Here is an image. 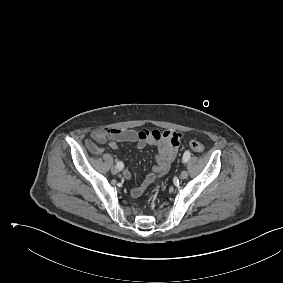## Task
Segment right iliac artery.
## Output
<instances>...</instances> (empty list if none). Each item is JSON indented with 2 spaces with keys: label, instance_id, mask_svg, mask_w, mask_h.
Instances as JSON below:
<instances>
[{
  "label": "right iliac artery",
  "instance_id": "82829eb1",
  "mask_svg": "<svg viewBox=\"0 0 283 283\" xmlns=\"http://www.w3.org/2000/svg\"><path fill=\"white\" fill-rule=\"evenodd\" d=\"M116 166L119 170H122L124 168V164L122 162H117Z\"/></svg>",
  "mask_w": 283,
  "mask_h": 283
}]
</instances>
